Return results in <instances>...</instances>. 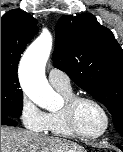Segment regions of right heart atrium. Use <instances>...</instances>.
Masks as SVG:
<instances>
[{
	"label": "right heart atrium",
	"instance_id": "right-heart-atrium-1",
	"mask_svg": "<svg viewBox=\"0 0 123 152\" xmlns=\"http://www.w3.org/2000/svg\"><path fill=\"white\" fill-rule=\"evenodd\" d=\"M19 116L26 129L33 132L46 131L48 114L42 111L26 95H23L21 99Z\"/></svg>",
	"mask_w": 123,
	"mask_h": 152
}]
</instances>
